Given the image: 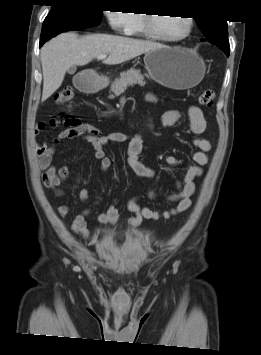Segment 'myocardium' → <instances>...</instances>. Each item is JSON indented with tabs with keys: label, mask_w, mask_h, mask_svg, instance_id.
Listing matches in <instances>:
<instances>
[{
	"label": "myocardium",
	"mask_w": 261,
	"mask_h": 355,
	"mask_svg": "<svg viewBox=\"0 0 261 355\" xmlns=\"http://www.w3.org/2000/svg\"><path fill=\"white\" fill-rule=\"evenodd\" d=\"M154 15L155 14H152V13H147V14L143 15L144 30L147 35H149L150 37H152L154 39L166 41V42H180V41L188 38L193 31V27H194L193 18L190 16H185L184 18L187 21L188 28H187V31L183 35L176 37V38L164 36L160 32H158V30L155 27V24H154L155 16Z\"/></svg>",
	"instance_id": "obj_1"
}]
</instances>
